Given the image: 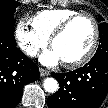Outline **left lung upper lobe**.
<instances>
[{
  "label": "left lung upper lobe",
  "instance_id": "left-lung-upper-lobe-1",
  "mask_svg": "<svg viewBox=\"0 0 108 108\" xmlns=\"http://www.w3.org/2000/svg\"><path fill=\"white\" fill-rule=\"evenodd\" d=\"M98 21L100 32V46L98 47L94 56H108V24L103 22L104 19L99 15Z\"/></svg>",
  "mask_w": 108,
  "mask_h": 108
}]
</instances>
